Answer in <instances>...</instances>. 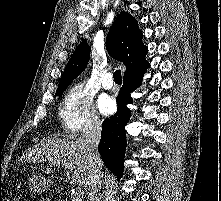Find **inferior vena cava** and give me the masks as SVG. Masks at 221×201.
Returning a JSON list of instances; mask_svg holds the SVG:
<instances>
[{"label":"inferior vena cava","instance_id":"602c4592","mask_svg":"<svg viewBox=\"0 0 221 201\" xmlns=\"http://www.w3.org/2000/svg\"><path fill=\"white\" fill-rule=\"evenodd\" d=\"M82 136L87 143L88 157L91 167L89 201H99L102 161L98 153V144L101 138V121L96 117L92 118L83 131Z\"/></svg>","mask_w":221,"mask_h":201}]
</instances>
